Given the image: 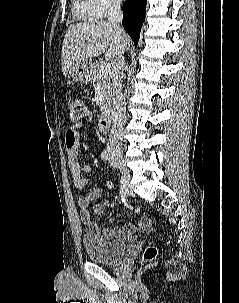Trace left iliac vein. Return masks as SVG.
Segmentation results:
<instances>
[{
    "label": "left iliac vein",
    "mask_w": 239,
    "mask_h": 303,
    "mask_svg": "<svg viewBox=\"0 0 239 303\" xmlns=\"http://www.w3.org/2000/svg\"><path fill=\"white\" fill-rule=\"evenodd\" d=\"M109 163H110V165L112 166V167H117V163L115 162V160H114V158H110L109 159Z\"/></svg>",
    "instance_id": "4c4485c4"
}]
</instances>
